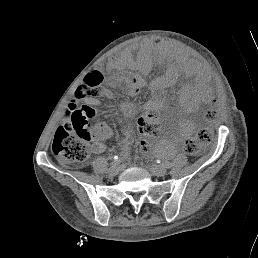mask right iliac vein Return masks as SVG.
Returning <instances> with one entry per match:
<instances>
[{"label":"right iliac vein","instance_id":"1","mask_svg":"<svg viewBox=\"0 0 258 258\" xmlns=\"http://www.w3.org/2000/svg\"><path fill=\"white\" fill-rule=\"evenodd\" d=\"M118 171H119V168H118L117 166H113V167L111 168V170H110V172L113 173V174H117Z\"/></svg>","mask_w":258,"mask_h":258}]
</instances>
